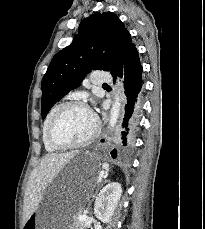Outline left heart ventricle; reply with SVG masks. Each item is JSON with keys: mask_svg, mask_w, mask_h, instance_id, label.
Here are the masks:
<instances>
[{"mask_svg": "<svg viewBox=\"0 0 205 229\" xmlns=\"http://www.w3.org/2000/svg\"><path fill=\"white\" fill-rule=\"evenodd\" d=\"M94 128V118L84 107H70L60 117L54 137L60 143H75L87 138Z\"/></svg>", "mask_w": 205, "mask_h": 229, "instance_id": "1", "label": "left heart ventricle"}]
</instances>
